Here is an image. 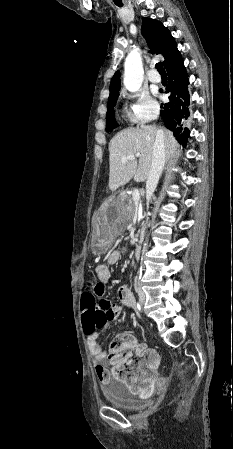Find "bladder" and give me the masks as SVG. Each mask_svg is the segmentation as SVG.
<instances>
[{
  "instance_id": "1",
  "label": "bladder",
  "mask_w": 233,
  "mask_h": 449,
  "mask_svg": "<svg viewBox=\"0 0 233 449\" xmlns=\"http://www.w3.org/2000/svg\"><path fill=\"white\" fill-rule=\"evenodd\" d=\"M103 394L105 399L117 409L136 410L146 407L147 404L145 400L136 398L129 387L119 383L107 385Z\"/></svg>"
}]
</instances>
